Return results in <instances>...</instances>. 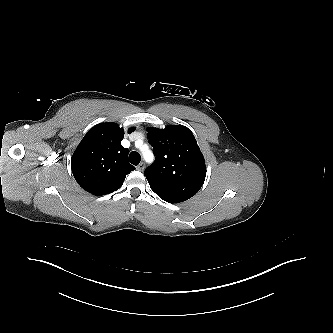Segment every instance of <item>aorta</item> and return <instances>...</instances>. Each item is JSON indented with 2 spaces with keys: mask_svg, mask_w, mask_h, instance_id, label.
Returning <instances> with one entry per match:
<instances>
[{
  "mask_svg": "<svg viewBox=\"0 0 333 333\" xmlns=\"http://www.w3.org/2000/svg\"><path fill=\"white\" fill-rule=\"evenodd\" d=\"M143 155L146 161H149V159H153V154L149 150L143 152Z\"/></svg>",
  "mask_w": 333,
  "mask_h": 333,
  "instance_id": "aorta-1",
  "label": "aorta"
}]
</instances>
